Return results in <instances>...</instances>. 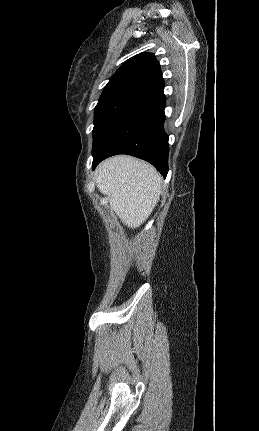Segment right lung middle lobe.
<instances>
[{
	"instance_id": "1",
	"label": "right lung middle lobe",
	"mask_w": 259,
	"mask_h": 431,
	"mask_svg": "<svg viewBox=\"0 0 259 431\" xmlns=\"http://www.w3.org/2000/svg\"><path fill=\"white\" fill-rule=\"evenodd\" d=\"M152 91L137 82L103 91L94 111L93 147L100 143L109 129L137 102Z\"/></svg>"
}]
</instances>
